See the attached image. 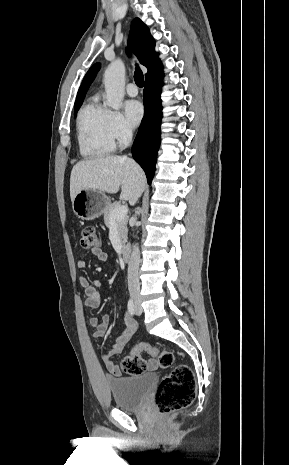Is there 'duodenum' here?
Wrapping results in <instances>:
<instances>
[{
	"mask_svg": "<svg viewBox=\"0 0 289 465\" xmlns=\"http://www.w3.org/2000/svg\"><path fill=\"white\" fill-rule=\"evenodd\" d=\"M121 258L124 262H128L130 260V248L125 246L121 250Z\"/></svg>",
	"mask_w": 289,
	"mask_h": 465,
	"instance_id": "obj_1",
	"label": "duodenum"
}]
</instances>
